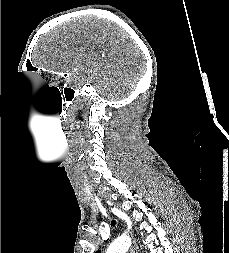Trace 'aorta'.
I'll use <instances>...</instances> for the list:
<instances>
[{
    "label": "aorta",
    "mask_w": 229,
    "mask_h": 253,
    "mask_svg": "<svg viewBox=\"0 0 229 253\" xmlns=\"http://www.w3.org/2000/svg\"><path fill=\"white\" fill-rule=\"evenodd\" d=\"M129 245L130 244L128 240L124 238H118L110 244L106 253H126Z\"/></svg>",
    "instance_id": "762f6f07"
}]
</instances>
